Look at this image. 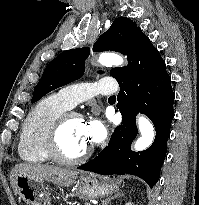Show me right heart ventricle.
I'll return each mask as SVG.
<instances>
[{
    "mask_svg": "<svg viewBox=\"0 0 199 205\" xmlns=\"http://www.w3.org/2000/svg\"><path fill=\"white\" fill-rule=\"evenodd\" d=\"M69 107L59 94L43 98L25 119L18 143V153L22 160L33 164H45L51 160L44 152L45 134L58 115Z\"/></svg>",
    "mask_w": 199,
    "mask_h": 205,
    "instance_id": "obj_1",
    "label": "right heart ventricle"
}]
</instances>
